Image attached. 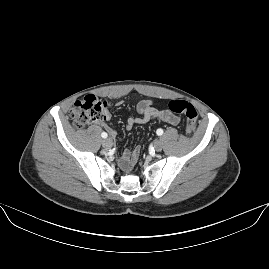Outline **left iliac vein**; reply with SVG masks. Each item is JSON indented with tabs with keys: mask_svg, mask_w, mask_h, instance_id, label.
Masks as SVG:
<instances>
[{
	"mask_svg": "<svg viewBox=\"0 0 269 269\" xmlns=\"http://www.w3.org/2000/svg\"><path fill=\"white\" fill-rule=\"evenodd\" d=\"M154 148L157 152H160L162 151L163 149V143L160 139L156 140L155 143H154Z\"/></svg>",
	"mask_w": 269,
	"mask_h": 269,
	"instance_id": "obj_1",
	"label": "left iliac vein"
}]
</instances>
